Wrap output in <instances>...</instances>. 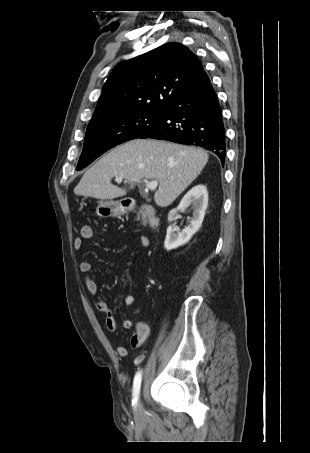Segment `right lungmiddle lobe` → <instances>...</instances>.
Masks as SVG:
<instances>
[{
    "instance_id": "1",
    "label": "right lung middle lobe",
    "mask_w": 310,
    "mask_h": 453,
    "mask_svg": "<svg viewBox=\"0 0 310 453\" xmlns=\"http://www.w3.org/2000/svg\"><path fill=\"white\" fill-rule=\"evenodd\" d=\"M163 110L118 113L89 123L77 170L94 161L112 147L138 138L157 124Z\"/></svg>"
}]
</instances>
